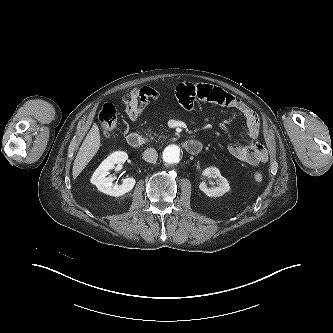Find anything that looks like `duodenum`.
Instances as JSON below:
<instances>
[{"mask_svg":"<svg viewBox=\"0 0 333 333\" xmlns=\"http://www.w3.org/2000/svg\"><path fill=\"white\" fill-rule=\"evenodd\" d=\"M126 139L128 145L132 148H139L143 144V137L136 132L129 133ZM183 147L189 154L196 155L201 151L202 144L197 140L189 139L184 141Z\"/></svg>","mask_w":333,"mask_h":333,"instance_id":"1","label":"duodenum"}]
</instances>
